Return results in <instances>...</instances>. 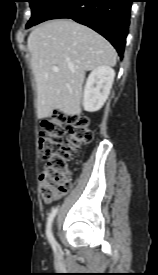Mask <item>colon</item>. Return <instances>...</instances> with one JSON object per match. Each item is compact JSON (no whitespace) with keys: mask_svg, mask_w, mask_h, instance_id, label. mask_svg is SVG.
<instances>
[{"mask_svg":"<svg viewBox=\"0 0 158 275\" xmlns=\"http://www.w3.org/2000/svg\"><path fill=\"white\" fill-rule=\"evenodd\" d=\"M64 137H67L65 143ZM92 138L93 131L86 117L55 113L42 123L37 145L46 165L39 176V184L46 199L57 200L67 192L71 181L67 161Z\"/></svg>","mask_w":158,"mask_h":275,"instance_id":"1","label":"colon"}]
</instances>
